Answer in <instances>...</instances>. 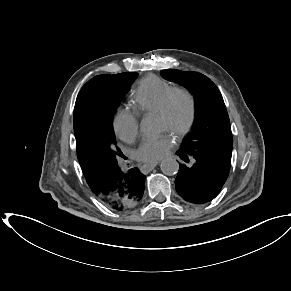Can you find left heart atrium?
<instances>
[{
    "label": "left heart atrium",
    "mask_w": 291,
    "mask_h": 291,
    "mask_svg": "<svg viewBox=\"0 0 291 291\" xmlns=\"http://www.w3.org/2000/svg\"><path fill=\"white\" fill-rule=\"evenodd\" d=\"M173 143L174 140L169 134L148 137L136 150V158L144 162H156L167 155Z\"/></svg>",
    "instance_id": "1"
}]
</instances>
